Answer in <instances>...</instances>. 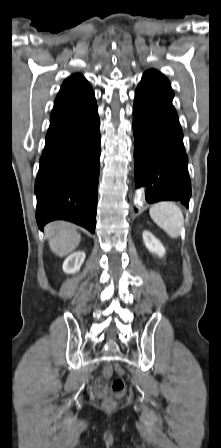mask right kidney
<instances>
[{
    "label": "right kidney",
    "mask_w": 221,
    "mask_h": 448,
    "mask_svg": "<svg viewBox=\"0 0 221 448\" xmlns=\"http://www.w3.org/2000/svg\"><path fill=\"white\" fill-rule=\"evenodd\" d=\"M85 260V252L78 251L69 255L63 263V271L67 274H74L80 270Z\"/></svg>",
    "instance_id": "right-kidney-1"
}]
</instances>
